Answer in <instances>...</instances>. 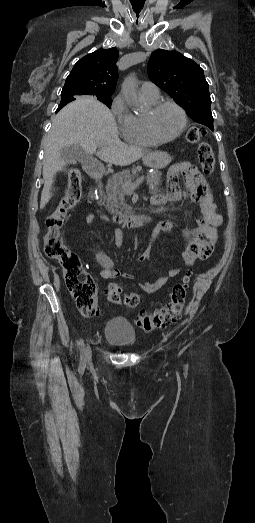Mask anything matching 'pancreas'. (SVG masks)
I'll use <instances>...</instances> for the list:
<instances>
[{"label":"pancreas","instance_id":"pancreas-1","mask_svg":"<svg viewBox=\"0 0 255 523\" xmlns=\"http://www.w3.org/2000/svg\"><path fill=\"white\" fill-rule=\"evenodd\" d=\"M141 170V166H137V168H132V170H123V172H119V174H113V176L109 178L106 186V208L109 214H114V216H125V214H131L132 208L126 206L124 202L125 190H123V182H131V180H135L138 172H141ZM161 176V172H153V176L147 174V184H149L152 194L157 192L156 186H159Z\"/></svg>","mask_w":255,"mask_h":523}]
</instances>
